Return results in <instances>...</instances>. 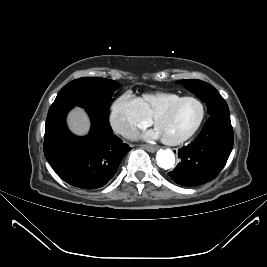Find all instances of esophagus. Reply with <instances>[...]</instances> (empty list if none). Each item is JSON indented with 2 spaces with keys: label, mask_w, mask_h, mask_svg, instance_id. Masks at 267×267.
<instances>
[{
  "label": "esophagus",
  "mask_w": 267,
  "mask_h": 267,
  "mask_svg": "<svg viewBox=\"0 0 267 267\" xmlns=\"http://www.w3.org/2000/svg\"><path fill=\"white\" fill-rule=\"evenodd\" d=\"M144 149H146L149 152H155L158 150V146H152V145H142Z\"/></svg>",
  "instance_id": "esophagus-1"
}]
</instances>
